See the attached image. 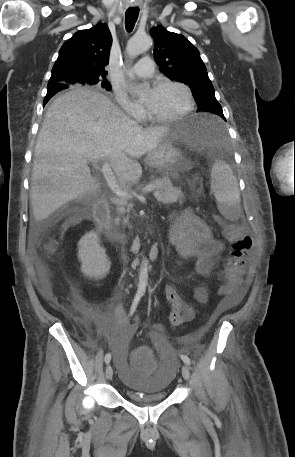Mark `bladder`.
<instances>
[{"label": "bladder", "mask_w": 295, "mask_h": 457, "mask_svg": "<svg viewBox=\"0 0 295 457\" xmlns=\"http://www.w3.org/2000/svg\"><path fill=\"white\" fill-rule=\"evenodd\" d=\"M107 359L112 365H117L116 370L122 377L125 386V395L133 403L144 405L160 402L168 397L167 388L173 377L171 369L176 368L177 353L166 342H157L155 348L159 356V370L157 374H132L130 371L128 338H109Z\"/></svg>", "instance_id": "bladder-1"}]
</instances>
